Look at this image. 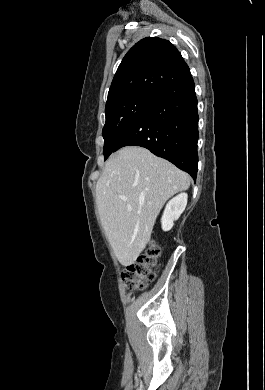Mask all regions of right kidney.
<instances>
[{
	"label": "right kidney",
	"mask_w": 265,
	"mask_h": 390,
	"mask_svg": "<svg viewBox=\"0 0 265 390\" xmlns=\"http://www.w3.org/2000/svg\"><path fill=\"white\" fill-rule=\"evenodd\" d=\"M187 199L188 195L186 193H181L167 203L161 219L163 231H169L173 227L174 221H176L185 210Z\"/></svg>",
	"instance_id": "right-kidney-1"
}]
</instances>
